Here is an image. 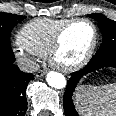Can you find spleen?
I'll return each mask as SVG.
<instances>
[{"label": "spleen", "mask_w": 116, "mask_h": 116, "mask_svg": "<svg viewBox=\"0 0 116 116\" xmlns=\"http://www.w3.org/2000/svg\"><path fill=\"white\" fill-rule=\"evenodd\" d=\"M75 104L82 116H116V84L80 86Z\"/></svg>", "instance_id": "3e777b00"}]
</instances>
